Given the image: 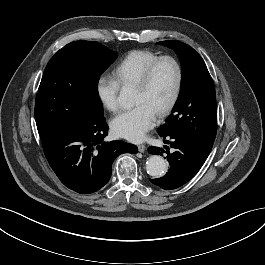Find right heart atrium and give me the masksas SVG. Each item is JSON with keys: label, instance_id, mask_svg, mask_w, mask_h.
<instances>
[{"label": "right heart atrium", "instance_id": "d8ad5b80", "mask_svg": "<svg viewBox=\"0 0 265 265\" xmlns=\"http://www.w3.org/2000/svg\"><path fill=\"white\" fill-rule=\"evenodd\" d=\"M119 90V83L110 75H100L95 84L96 96L100 104L112 112L117 111L119 108Z\"/></svg>", "mask_w": 265, "mask_h": 265}]
</instances>
